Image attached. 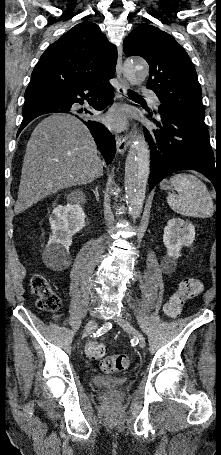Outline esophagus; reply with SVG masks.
I'll return each mask as SVG.
<instances>
[{"instance_id": "esophagus-1", "label": "esophagus", "mask_w": 221, "mask_h": 455, "mask_svg": "<svg viewBox=\"0 0 221 455\" xmlns=\"http://www.w3.org/2000/svg\"><path fill=\"white\" fill-rule=\"evenodd\" d=\"M123 51H122V46L120 45L118 48V59H117V64H116V75L118 79V85L116 87V94L118 98H123L126 96L127 93V88H128V82L127 79L124 75L123 72ZM133 136V132L131 129H128L126 131L125 135H116V146H117V151L119 154H124L125 151L127 150L131 138Z\"/></svg>"}]
</instances>
